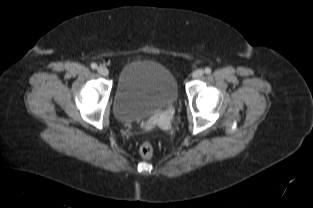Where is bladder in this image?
<instances>
[{"label": "bladder", "mask_w": 313, "mask_h": 208, "mask_svg": "<svg viewBox=\"0 0 313 208\" xmlns=\"http://www.w3.org/2000/svg\"><path fill=\"white\" fill-rule=\"evenodd\" d=\"M174 74L154 61H134L125 64L117 79L114 111L123 122L146 119L178 98Z\"/></svg>", "instance_id": "31cf9c89"}]
</instances>
